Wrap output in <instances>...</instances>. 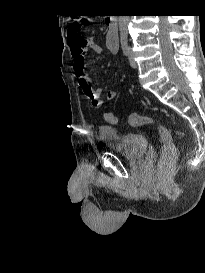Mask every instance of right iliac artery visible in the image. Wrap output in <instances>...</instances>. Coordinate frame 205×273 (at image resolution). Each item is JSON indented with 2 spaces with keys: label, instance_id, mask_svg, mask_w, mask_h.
I'll return each instance as SVG.
<instances>
[{
  "label": "right iliac artery",
  "instance_id": "right-iliac-artery-1",
  "mask_svg": "<svg viewBox=\"0 0 205 273\" xmlns=\"http://www.w3.org/2000/svg\"><path fill=\"white\" fill-rule=\"evenodd\" d=\"M122 51H123V54H124L125 56H128V55H129V47H128L127 42H123V43H122Z\"/></svg>",
  "mask_w": 205,
  "mask_h": 273
}]
</instances>
